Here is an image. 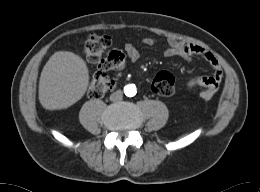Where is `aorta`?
<instances>
[{"instance_id": "762f6f07", "label": "aorta", "mask_w": 260, "mask_h": 192, "mask_svg": "<svg viewBox=\"0 0 260 192\" xmlns=\"http://www.w3.org/2000/svg\"><path fill=\"white\" fill-rule=\"evenodd\" d=\"M137 89L134 84H128L124 87V93L128 97H133L136 95Z\"/></svg>"}]
</instances>
